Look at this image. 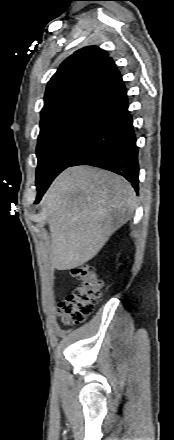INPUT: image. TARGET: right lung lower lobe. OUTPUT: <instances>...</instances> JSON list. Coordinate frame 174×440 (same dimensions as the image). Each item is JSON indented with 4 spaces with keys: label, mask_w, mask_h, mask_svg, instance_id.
Returning <instances> with one entry per match:
<instances>
[{
    "label": "right lung lower lobe",
    "mask_w": 174,
    "mask_h": 440,
    "mask_svg": "<svg viewBox=\"0 0 174 440\" xmlns=\"http://www.w3.org/2000/svg\"><path fill=\"white\" fill-rule=\"evenodd\" d=\"M136 137L124 82L121 80L98 95L89 132L67 166L91 165L124 176L138 192L139 164ZM50 184L37 187L38 203Z\"/></svg>",
    "instance_id": "1"
}]
</instances>
